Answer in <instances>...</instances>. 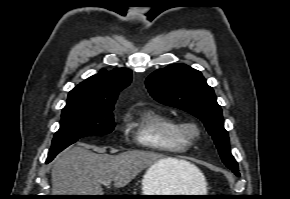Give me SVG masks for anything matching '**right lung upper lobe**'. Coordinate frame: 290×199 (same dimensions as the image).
Returning a JSON list of instances; mask_svg holds the SVG:
<instances>
[{
    "mask_svg": "<svg viewBox=\"0 0 290 199\" xmlns=\"http://www.w3.org/2000/svg\"><path fill=\"white\" fill-rule=\"evenodd\" d=\"M131 79L129 69L116 68L110 72L102 69L69 92L64 109L114 107L118 93L130 84Z\"/></svg>",
    "mask_w": 290,
    "mask_h": 199,
    "instance_id": "cb5924a9",
    "label": "right lung upper lobe"
}]
</instances>
